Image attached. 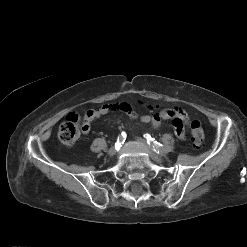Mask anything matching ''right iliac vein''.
<instances>
[{"label":"right iliac vein","mask_w":247,"mask_h":247,"mask_svg":"<svg viewBox=\"0 0 247 247\" xmlns=\"http://www.w3.org/2000/svg\"><path fill=\"white\" fill-rule=\"evenodd\" d=\"M116 152H117V149H116V147H111L110 149H109V151H108V155L109 156H114L115 154H116Z\"/></svg>","instance_id":"63e3f726"}]
</instances>
